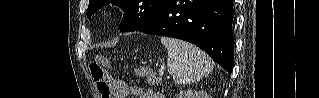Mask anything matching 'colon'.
Instances as JSON below:
<instances>
[{"label": "colon", "mask_w": 319, "mask_h": 98, "mask_svg": "<svg viewBox=\"0 0 319 98\" xmlns=\"http://www.w3.org/2000/svg\"><path fill=\"white\" fill-rule=\"evenodd\" d=\"M106 64L107 60L105 58H101V63H91L89 65L90 74L97 85V89L101 95V98L112 97V91L103 67ZM137 75L139 77L146 78L152 85H155L158 82L156 73L147 67L138 68Z\"/></svg>", "instance_id": "5ec220e1"}]
</instances>
